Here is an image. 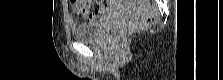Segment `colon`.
Wrapping results in <instances>:
<instances>
[{
	"label": "colon",
	"instance_id": "obj_1",
	"mask_svg": "<svg viewBox=\"0 0 223 80\" xmlns=\"http://www.w3.org/2000/svg\"><path fill=\"white\" fill-rule=\"evenodd\" d=\"M73 3L78 5L83 12L87 11L86 1L74 0ZM154 22H155V15L154 14H149L142 21L141 24L149 25V24H152ZM135 28H136L135 24L126 25L123 28H121L119 31H117L116 36L117 37H123V36L129 34L130 32H132Z\"/></svg>",
	"mask_w": 223,
	"mask_h": 80
}]
</instances>
